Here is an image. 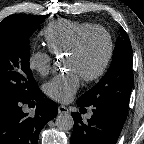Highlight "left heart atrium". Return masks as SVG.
Returning a JSON list of instances; mask_svg holds the SVG:
<instances>
[{
    "mask_svg": "<svg viewBox=\"0 0 144 144\" xmlns=\"http://www.w3.org/2000/svg\"><path fill=\"white\" fill-rule=\"evenodd\" d=\"M81 82V75L70 69L53 77L45 85L46 94L59 102H69L77 92Z\"/></svg>",
    "mask_w": 144,
    "mask_h": 144,
    "instance_id": "39dd6f15",
    "label": "left heart atrium"
}]
</instances>
